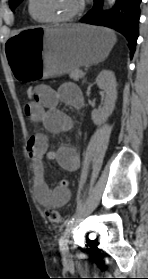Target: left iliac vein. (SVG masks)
I'll return each mask as SVG.
<instances>
[{"label":"left iliac vein","mask_w":148,"mask_h":279,"mask_svg":"<svg viewBox=\"0 0 148 279\" xmlns=\"http://www.w3.org/2000/svg\"><path fill=\"white\" fill-rule=\"evenodd\" d=\"M71 232H72V227H69L68 229H66L64 236L60 242V250L64 257L69 256L68 237L70 236Z\"/></svg>","instance_id":"1"}]
</instances>
